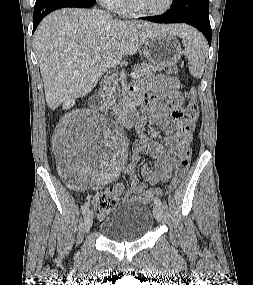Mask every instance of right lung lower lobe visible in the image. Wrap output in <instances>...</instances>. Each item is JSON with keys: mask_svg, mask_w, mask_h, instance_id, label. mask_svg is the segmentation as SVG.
Returning a JSON list of instances; mask_svg holds the SVG:
<instances>
[{"mask_svg": "<svg viewBox=\"0 0 253 285\" xmlns=\"http://www.w3.org/2000/svg\"><path fill=\"white\" fill-rule=\"evenodd\" d=\"M96 0H36L33 16V32L40 21L50 12L64 7L89 8Z\"/></svg>", "mask_w": 253, "mask_h": 285, "instance_id": "obj_1", "label": "right lung lower lobe"}]
</instances>
